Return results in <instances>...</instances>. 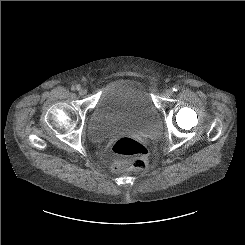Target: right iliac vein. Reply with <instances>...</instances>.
<instances>
[{
    "mask_svg": "<svg viewBox=\"0 0 245 245\" xmlns=\"http://www.w3.org/2000/svg\"><path fill=\"white\" fill-rule=\"evenodd\" d=\"M78 93H79L80 96H84V95L87 94V89L86 88H83V87L82 88L80 87L78 89Z\"/></svg>",
    "mask_w": 245,
    "mask_h": 245,
    "instance_id": "right-iliac-vein-1",
    "label": "right iliac vein"
}]
</instances>
